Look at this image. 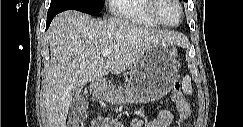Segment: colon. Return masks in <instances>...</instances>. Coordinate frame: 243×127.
Returning a JSON list of instances; mask_svg holds the SVG:
<instances>
[{"label":"colon","instance_id":"colon-1","mask_svg":"<svg viewBox=\"0 0 243 127\" xmlns=\"http://www.w3.org/2000/svg\"><path fill=\"white\" fill-rule=\"evenodd\" d=\"M173 97L176 101H184V97L180 91V85L175 84ZM86 119V105L79 104L72 109L69 127H84Z\"/></svg>","mask_w":243,"mask_h":127}]
</instances>
